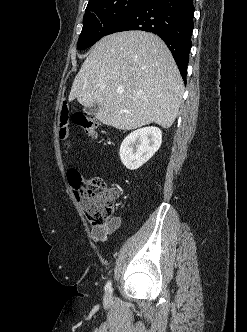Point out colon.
<instances>
[{"mask_svg": "<svg viewBox=\"0 0 247 332\" xmlns=\"http://www.w3.org/2000/svg\"><path fill=\"white\" fill-rule=\"evenodd\" d=\"M70 121L81 127L89 137L98 136L97 120L85 113L70 115L69 105L65 102L60 114L59 135L61 139H67ZM69 181L86 217L93 225H103L111 220L116 196L104 177L83 178L77 171H71Z\"/></svg>", "mask_w": 247, "mask_h": 332, "instance_id": "1", "label": "colon"}]
</instances>
